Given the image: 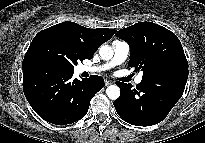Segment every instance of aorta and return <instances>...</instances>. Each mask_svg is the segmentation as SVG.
<instances>
[{
    "label": "aorta",
    "instance_id": "1",
    "mask_svg": "<svg viewBox=\"0 0 205 143\" xmlns=\"http://www.w3.org/2000/svg\"><path fill=\"white\" fill-rule=\"evenodd\" d=\"M99 54L101 59L103 60H110L113 57V49L108 45L101 46L99 50ZM106 94L111 100H116L120 96V89L116 85H110L106 89Z\"/></svg>",
    "mask_w": 205,
    "mask_h": 143
}]
</instances>
